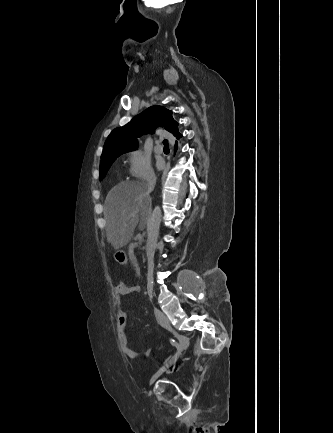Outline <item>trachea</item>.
I'll list each match as a JSON object with an SVG mask.
<instances>
[{"label":"trachea","mask_w":333,"mask_h":433,"mask_svg":"<svg viewBox=\"0 0 333 433\" xmlns=\"http://www.w3.org/2000/svg\"><path fill=\"white\" fill-rule=\"evenodd\" d=\"M163 144H164V148H166V149L169 148L168 140H164V141H163Z\"/></svg>","instance_id":"obj_1"}]
</instances>
